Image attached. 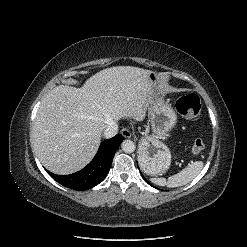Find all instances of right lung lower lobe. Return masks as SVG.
<instances>
[{
    "instance_id": "right-lung-lower-lobe-1",
    "label": "right lung lower lobe",
    "mask_w": 247,
    "mask_h": 247,
    "mask_svg": "<svg viewBox=\"0 0 247 247\" xmlns=\"http://www.w3.org/2000/svg\"><path fill=\"white\" fill-rule=\"evenodd\" d=\"M122 141L123 136L120 134L103 141L93 160L76 173L58 176L47 172L54 180L68 188L79 191L90 189L104 180L111 167L115 152Z\"/></svg>"
}]
</instances>
